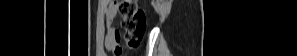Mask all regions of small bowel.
<instances>
[{
	"label": "small bowel",
	"mask_w": 297,
	"mask_h": 56,
	"mask_svg": "<svg viewBox=\"0 0 297 56\" xmlns=\"http://www.w3.org/2000/svg\"><path fill=\"white\" fill-rule=\"evenodd\" d=\"M115 17H116V6L114 4H110L106 11L107 32L104 39V45L108 51H112L114 53L121 50L119 46L121 34L118 29L113 27Z\"/></svg>",
	"instance_id": "1"
}]
</instances>
